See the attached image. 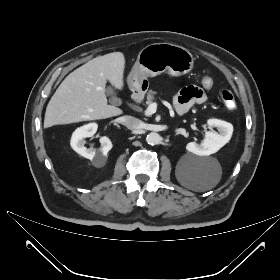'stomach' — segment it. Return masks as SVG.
<instances>
[{"label":"stomach","instance_id":"obj_1","mask_svg":"<svg viewBox=\"0 0 280 280\" xmlns=\"http://www.w3.org/2000/svg\"><path fill=\"white\" fill-rule=\"evenodd\" d=\"M194 64L193 55L184 47L171 43H153L144 47L128 75V86L132 91H143L148 77L163 72L171 76L189 73Z\"/></svg>","mask_w":280,"mask_h":280}]
</instances>
